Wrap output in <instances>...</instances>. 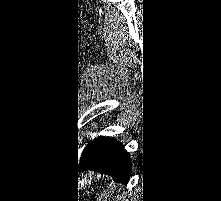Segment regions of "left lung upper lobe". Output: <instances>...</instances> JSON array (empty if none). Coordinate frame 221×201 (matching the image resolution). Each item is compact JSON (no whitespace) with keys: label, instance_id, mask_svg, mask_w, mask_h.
Masks as SVG:
<instances>
[{"label":"left lung upper lobe","instance_id":"obj_1","mask_svg":"<svg viewBox=\"0 0 221 201\" xmlns=\"http://www.w3.org/2000/svg\"><path fill=\"white\" fill-rule=\"evenodd\" d=\"M92 142H93V140L88 141V142H87L88 144L86 145L85 148H87Z\"/></svg>","mask_w":221,"mask_h":201}]
</instances>
